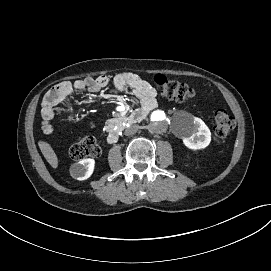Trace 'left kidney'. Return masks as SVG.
Instances as JSON below:
<instances>
[{
  "label": "left kidney",
  "mask_w": 271,
  "mask_h": 271,
  "mask_svg": "<svg viewBox=\"0 0 271 271\" xmlns=\"http://www.w3.org/2000/svg\"><path fill=\"white\" fill-rule=\"evenodd\" d=\"M188 122L189 129L180 136L185 146L194 150L207 147L211 141V132L206 124L193 115H190Z\"/></svg>",
  "instance_id": "1"
}]
</instances>
